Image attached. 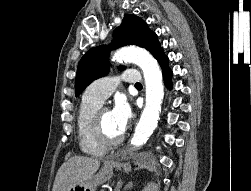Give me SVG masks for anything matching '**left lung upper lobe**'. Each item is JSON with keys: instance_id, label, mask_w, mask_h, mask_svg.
Segmentation results:
<instances>
[{"instance_id": "left-lung-upper-lobe-1", "label": "left lung upper lobe", "mask_w": 251, "mask_h": 191, "mask_svg": "<svg viewBox=\"0 0 251 191\" xmlns=\"http://www.w3.org/2000/svg\"><path fill=\"white\" fill-rule=\"evenodd\" d=\"M125 45H137L150 51L157 58L162 52L157 35L138 16L128 14L121 25L114 32L111 45L90 49L80 60L75 80V95L79 96L83 90L95 79L107 75L109 71V51ZM123 70L124 67H119Z\"/></svg>"}]
</instances>
